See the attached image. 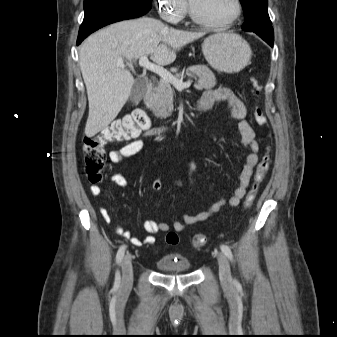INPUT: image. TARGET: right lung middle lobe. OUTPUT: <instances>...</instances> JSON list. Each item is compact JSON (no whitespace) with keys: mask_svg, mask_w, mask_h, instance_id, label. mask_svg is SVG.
I'll return each instance as SVG.
<instances>
[{"mask_svg":"<svg viewBox=\"0 0 337 337\" xmlns=\"http://www.w3.org/2000/svg\"><path fill=\"white\" fill-rule=\"evenodd\" d=\"M98 1H101V0H84V9L87 8L89 5L95 2H98ZM122 1L130 2V3H134L138 5H149L152 0H122Z\"/></svg>","mask_w":337,"mask_h":337,"instance_id":"obj_1","label":"right lung middle lobe"}]
</instances>
